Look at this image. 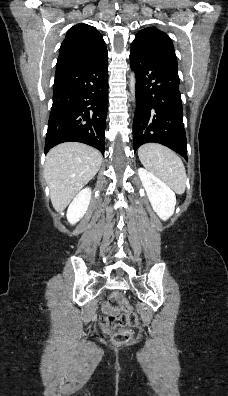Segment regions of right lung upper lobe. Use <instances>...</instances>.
Here are the masks:
<instances>
[{
  "label": "right lung upper lobe",
  "instance_id": "obj_1",
  "mask_svg": "<svg viewBox=\"0 0 228 396\" xmlns=\"http://www.w3.org/2000/svg\"><path fill=\"white\" fill-rule=\"evenodd\" d=\"M106 49L102 35L92 26L77 24L70 28L61 44L56 69L86 61Z\"/></svg>",
  "mask_w": 228,
  "mask_h": 396
}]
</instances>
